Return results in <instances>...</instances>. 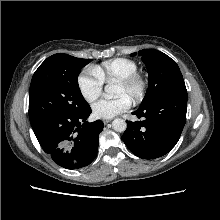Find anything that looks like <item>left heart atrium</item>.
<instances>
[{
	"mask_svg": "<svg viewBox=\"0 0 220 220\" xmlns=\"http://www.w3.org/2000/svg\"><path fill=\"white\" fill-rule=\"evenodd\" d=\"M131 106L130 99L120 95L114 99H100L92 105L93 115L96 118L109 119L127 111Z\"/></svg>",
	"mask_w": 220,
	"mask_h": 220,
	"instance_id": "left-heart-atrium-1",
	"label": "left heart atrium"
}]
</instances>
